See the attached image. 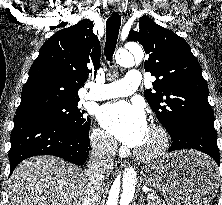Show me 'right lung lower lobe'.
I'll return each instance as SVG.
<instances>
[{"label": "right lung lower lobe", "instance_id": "right-lung-lower-lobe-1", "mask_svg": "<svg viewBox=\"0 0 222 205\" xmlns=\"http://www.w3.org/2000/svg\"><path fill=\"white\" fill-rule=\"evenodd\" d=\"M88 133L65 127L46 117L14 118L10 137V174L21 161L37 155H53L83 165L90 151Z\"/></svg>", "mask_w": 222, "mask_h": 205}]
</instances>
